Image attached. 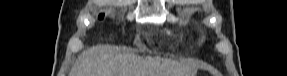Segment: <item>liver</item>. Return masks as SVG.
I'll return each instance as SVG.
<instances>
[{"instance_id":"6515ba94","label":"liver","mask_w":287,"mask_h":76,"mask_svg":"<svg viewBox=\"0 0 287 76\" xmlns=\"http://www.w3.org/2000/svg\"><path fill=\"white\" fill-rule=\"evenodd\" d=\"M75 76H194L196 68L169 59L140 57L117 46L97 45L83 51Z\"/></svg>"}]
</instances>
